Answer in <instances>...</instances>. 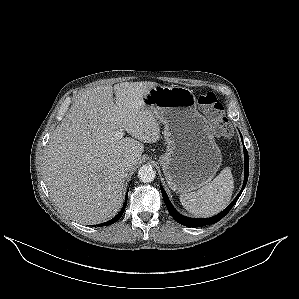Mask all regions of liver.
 I'll return each mask as SVG.
<instances>
[{"mask_svg": "<svg viewBox=\"0 0 299 299\" xmlns=\"http://www.w3.org/2000/svg\"><path fill=\"white\" fill-rule=\"evenodd\" d=\"M155 86L123 82L97 86L74 98L47 143L42 163L51 198L65 215L98 224L120 211L128 172L138 164L144 143L160 138L157 118L143 102ZM119 129L131 137L117 138ZM126 157L132 159L128 168L122 164Z\"/></svg>", "mask_w": 299, "mask_h": 299, "instance_id": "liver-1", "label": "liver"}]
</instances>
